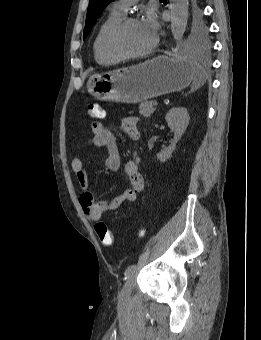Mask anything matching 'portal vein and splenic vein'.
Here are the masks:
<instances>
[{
    "mask_svg": "<svg viewBox=\"0 0 261 340\" xmlns=\"http://www.w3.org/2000/svg\"><path fill=\"white\" fill-rule=\"evenodd\" d=\"M153 105H154L155 107L158 106V102L155 101Z\"/></svg>",
    "mask_w": 261,
    "mask_h": 340,
    "instance_id": "obj_1",
    "label": "portal vein and splenic vein"
}]
</instances>
